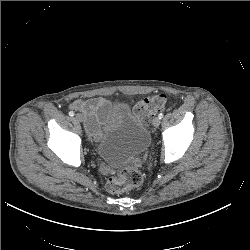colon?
<instances>
[{
  "label": "colon",
  "instance_id": "obj_1",
  "mask_svg": "<svg viewBox=\"0 0 250 250\" xmlns=\"http://www.w3.org/2000/svg\"><path fill=\"white\" fill-rule=\"evenodd\" d=\"M166 102L167 98L164 94H156L138 102L133 110L141 122L147 123L152 115L165 107ZM142 181L141 161L135 158L115 176L109 178L107 189L112 193H123L138 187Z\"/></svg>",
  "mask_w": 250,
  "mask_h": 250
}]
</instances>
